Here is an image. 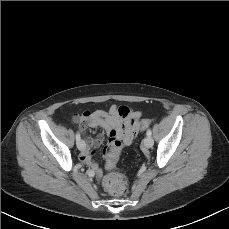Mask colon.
I'll use <instances>...</instances> for the list:
<instances>
[{"mask_svg":"<svg viewBox=\"0 0 229 229\" xmlns=\"http://www.w3.org/2000/svg\"><path fill=\"white\" fill-rule=\"evenodd\" d=\"M138 117H134L131 125H130V132L135 135L137 129L140 128L142 130L148 128L151 124V120L144 119L138 122ZM117 139V133L115 131H111L109 133V142H112ZM120 156V152L116 153L115 159L118 160ZM103 184L105 190L113 197H120L124 195L127 191L128 183L125 176L121 173H112L105 176L103 180Z\"/></svg>","mask_w":229,"mask_h":229,"instance_id":"5ec220e1","label":"colon"}]
</instances>
